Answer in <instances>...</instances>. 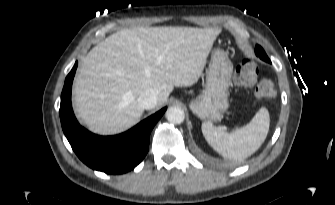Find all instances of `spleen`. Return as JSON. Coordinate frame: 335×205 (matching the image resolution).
I'll return each mask as SVG.
<instances>
[{
	"label": "spleen",
	"mask_w": 335,
	"mask_h": 205,
	"mask_svg": "<svg viewBox=\"0 0 335 205\" xmlns=\"http://www.w3.org/2000/svg\"><path fill=\"white\" fill-rule=\"evenodd\" d=\"M269 126V112L262 107L247 125L233 132L228 133L208 122H203L201 129L208 144L224 158L244 160L263 144Z\"/></svg>",
	"instance_id": "obj_1"
}]
</instances>
